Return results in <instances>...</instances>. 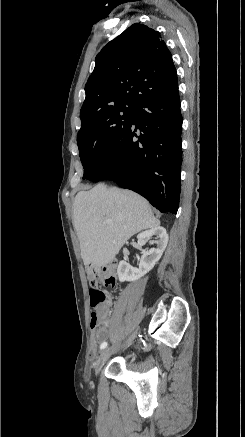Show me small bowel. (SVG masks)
I'll use <instances>...</instances> for the list:
<instances>
[{
    "label": "small bowel",
    "instance_id": "c3829d8e",
    "mask_svg": "<svg viewBox=\"0 0 245 437\" xmlns=\"http://www.w3.org/2000/svg\"><path fill=\"white\" fill-rule=\"evenodd\" d=\"M90 324H91V329H92V331H93L94 324H93V322H92V319H91V321H90ZM107 335H108V331H107V330H106V334H105V336L102 337V338H95L94 335H93V337H92V345H93V347L95 348V347L97 346L98 341H100L101 339L106 338Z\"/></svg>",
    "mask_w": 245,
    "mask_h": 437
}]
</instances>
